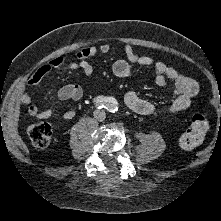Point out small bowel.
I'll use <instances>...</instances> for the list:
<instances>
[{
  "label": "small bowel",
  "instance_id": "small-bowel-1",
  "mask_svg": "<svg viewBox=\"0 0 221 221\" xmlns=\"http://www.w3.org/2000/svg\"><path fill=\"white\" fill-rule=\"evenodd\" d=\"M110 46L106 43L98 47L85 46L81 48L72 58L65 59L62 57L51 59L46 65L40 67L37 72L28 79V84L38 85L42 79L53 69L76 70L79 69L88 77L93 73V66L90 59L98 54H106ZM124 51L126 59L118 60L113 64L112 71L117 77H128L132 73V66L139 65L148 67L153 64V59L147 55L137 53L130 44H125ZM155 82L160 87H167L171 82L174 87L175 98L172 103L165 109L166 113L174 114L187 109L194 97L199 92V84L193 78L181 74L174 67L163 62L154 64ZM83 96V90L75 84H67L58 89L55 97L59 100L78 101ZM21 102L28 106V112L32 117L37 119L53 118L56 110L53 107L40 110L27 93L20 97ZM124 103L135 113L140 115H153L158 112L157 107L150 101L140 97L136 92L129 91L123 97ZM76 116V110L71 108L65 111L59 120L67 121Z\"/></svg>",
  "mask_w": 221,
  "mask_h": 221
}]
</instances>
